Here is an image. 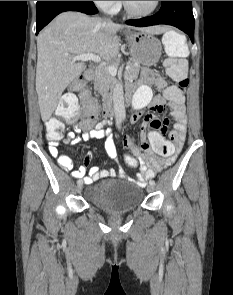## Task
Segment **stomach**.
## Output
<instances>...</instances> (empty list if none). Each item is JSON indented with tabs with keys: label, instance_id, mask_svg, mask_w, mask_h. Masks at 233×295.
Returning a JSON list of instances; mask_svg holds the SVG:
<instances>
[{
	"label": "stomach",
	"instance_id": "0dacf381",
	"mask_svg": "<svg viewBox=\"0 0 233 295\" xmlns=\"http://www.w3.org/2000/svg\"><path fill=\"white\" fill-rule=\"evenodd\" d=\"M125 36L129 42L132 57L145 66L155 65L161 57V43L155 33L147 30L128 31Z\"/></svg>",
	"mask_w": 233,
	"mask_h": 295
}]
</instances>
